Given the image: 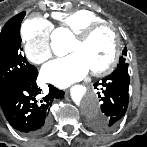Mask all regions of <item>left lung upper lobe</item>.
<instances>
[{"label":"left lung upper lobe","instance_id":"obj_1","mask_svg":"<svg viewBox=\"0 0 147 147\" xmlns=\"http://www.w3.org/2000/svg\"><path fill=\"white\" fill-rule=\"evenodd\" d=\"M126 55H127V49L125 48V49L123 50V56L119 59V64H118L117 67L123 66V65H128V64L126 63V59H125V56H126Z\"/></svg>","mask_w":147,"mask_h":147}]
</instances>
